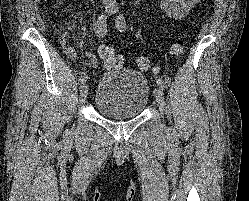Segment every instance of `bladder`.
Segmentation results:
<instances>
[{"label": "bladder", "mask_w": 249, "mask_h": 201, "mask_svg": "<svg viewBox=\"0 0 249 201\" xmlns=\"http://www.w3.org/2000/svg\"><path fill=\"white\" fill-rule=\"evenodd\" d=\"M150 84L137 71H106L98 80L93 99L95 109L104 117L124 120L137 117L146 109Z\"/></svg>", "instance_id": "obj_1"}]
</instances>
